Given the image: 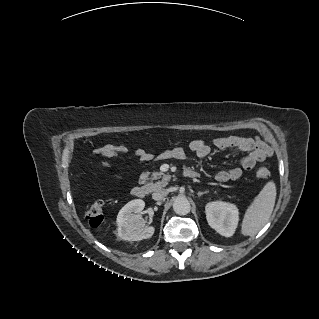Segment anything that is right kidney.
<instances>
[{"mask_svg":"<svg viewBox=\"0 0 319 319\" xmlns=\"http://www.w3.org/2000/svg\"><path fill=\"white\" fill-rule=\"evenodd\" d=\"M145 207L142 199H135L128 202L117 215V235L124 240L139 241L152 237L154 227H145V220L141 211Z\"/></svg>","mask_w":319,"mask_h":319,"instance_id":"right-kidney-1","label":"right kidney"}]
</instances>
